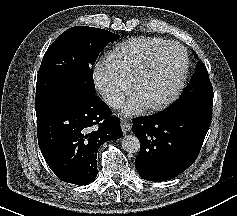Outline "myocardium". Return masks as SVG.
<instances>
[{"instance_id": "f54148a6", "label": "myocardium", "mask_w": 237, "mask_h": 216, "mask_svg": "<svg viewBox=\"0 0 237 216\" xmlns=\"http://www.w3.org/2000/svg\"><path fill=\"white\" fill-rule=\"evenodd\" d=\"M171 62H182L177 81L175 85L171 88V90L159 100L151 101L139 98L137 96V89L141 76L148 75L149 73L158 69V67H161L164 64ZM187 64L188 56L185 51H168L165 53H161L160 55H157L152 59H149L148 62L140 66V74H138L134 79L129 95V102L132 110L137 112L145 108L155 109L163 106L164 104L172 100L184 87V83L186 80Z\"/></svg>"}]
</instances>
